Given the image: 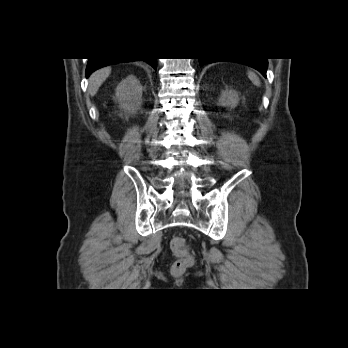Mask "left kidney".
Instances as JSON below:
<instances>
[{
  "mask_svg": "<svg viewBox=\"0 0 348 348\" xmlns=\"http://www.w3.org/2000/svg\"><path fill=\"white\" fill-rule=\"evenodd\" d=\"M239 101L238 93L234 90H225L222 92L219 103L222 106L234 108Z\"/></svg>",
  "mask_w": 348,
  "mask_h": 348,
  "instance_id": "1",
  "label": "left kidney"
}]
</instances>
